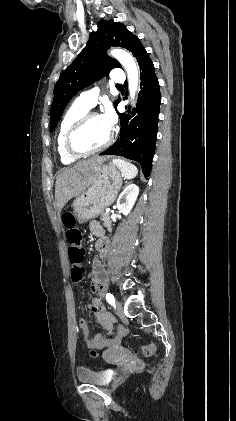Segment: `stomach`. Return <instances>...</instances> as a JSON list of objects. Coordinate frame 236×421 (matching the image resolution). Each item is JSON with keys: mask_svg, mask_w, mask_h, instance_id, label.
<instances>
[{"mask_svg": "<svg viewBox=\"0 0 236 421\" xmlns=\"http://www.w3.org/2000/svg\"><path fill=\"white\" fill-rule=\"evenodd\" d=\"M85 184L73 200V215L78 223L96 219L104 208L113 204L123 182L122 174L115 162L100 164L82 172Z\"/></svg>", "mask_w": 236, "mask_h": 421, "instance_id": "1", "label": "stomach"}]
</instances>
